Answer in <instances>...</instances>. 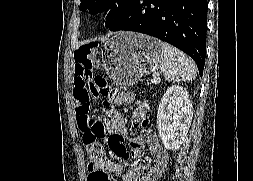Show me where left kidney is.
I'll return each instance as SVG.
<instances>
[{"label": "left kidney", "instance_id": "left-kidney-1", "mask_svg": "<svg viewBox=\"0 0 253 181\" xmlns=\"http://www.w3.org/2000/svg\"><path fill=\"white\" fill-rule=\"evenodd\" d=\"M193 107L186 89L173 85L162 96L157 112V127L166 149L176 150L191 125Z\"/></svg>", "mask_w": 253, "mask_h": 181}]
</instances>
